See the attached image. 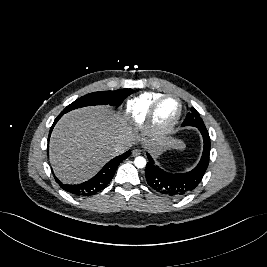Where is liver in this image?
<instances>
[{
    "label": "liver",
    "mask_w": 267,
    "mask_h": 267,
    "mask_svg": "<svg viewBox=\"0 0 267 267\" xmlns=\"http://www.w3.org/2000/svg\"><path fill=\"white\" fill-rule=\"evenodd\" d=\"M135 140L142 138L111 108H81L65 114L55 126L50 139V162L61 181L80 183L115 156V145L130 146ZM148 143L154 153L181 146L175 139Z\"/></svg>",
    "instance_id": "6515ba94"
}]
</instances>
